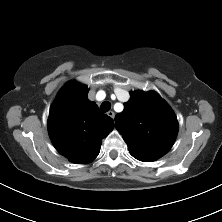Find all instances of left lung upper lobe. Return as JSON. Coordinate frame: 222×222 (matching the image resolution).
I'll list each match as a JSON object with an SVG mask.
<instances>
[{
    "label": "left lung upper lobe",
    "mask_w": 222,
    "mask_h": 222,
    "mask_svg": "<svg viewBox=\"0 0 222 222\" xmlns=\"http://www.w3.org/2000/svg\"><path fill=\"white\" fill-rule=\"evenodd\" d=\"M115 117L116 129L130 154L143 162L155 161L173 146L178 122L170 106L154 91H134Z\"/></svg>",
    "instance_id": "left-lung-upper-lobe-1"
}]
</instances>
